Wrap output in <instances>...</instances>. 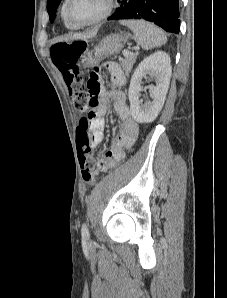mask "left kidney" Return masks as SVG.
Returning a JSON list of instances; mask_svg holds the SVG:
<instances>
[{"label": "left kidney", "instance_id": "5707ae66", "mask_svg": "<svg viewBox=\"0 0 227 298\" xmlns=\"http://www.w3.org/2000/svg\"><path fill=\"white\" fill-rule=\"evenodd\" d=\"M172 67L170 57L163 51H158L146 57L136 68L129 86L128 97L132 117L138 123L152 122L161 111L169 88ZM150 74L156 78V86H151L150 93L153 100L140 105L142 78Z\"/></svg>", "mask_w": 227, "mask_h": 298}]
</instances>
